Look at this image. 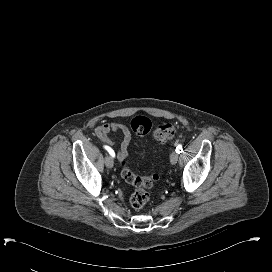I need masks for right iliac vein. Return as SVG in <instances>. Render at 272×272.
Returning a JSON list of instances; mask_svg holds the SVG:
<instances>
[{"mask_svg":"<svg viewBox=\"0 0 272 272\" xmlns=\"http://www.w3.org/2000/svg\"><path fill=\"white\" fill-rule=\"evenodd\" d=\"M105 165L107 168H112L113 167V159L111 156H106L105 157Z\"/></svg>","mask_w":272,"mask_h":272,"instance_id":"obj_1","label":"right iliac vein"}]
</instances>
